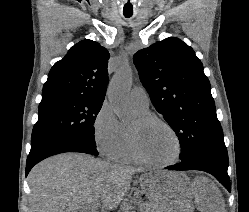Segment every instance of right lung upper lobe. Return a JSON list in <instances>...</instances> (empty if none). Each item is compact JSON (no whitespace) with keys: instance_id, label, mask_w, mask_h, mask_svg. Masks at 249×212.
Returning <instances> with one entry per match:
<instances>
[{"instance_id":"obj_1","label":"right lung upper lobe","mask_w":249,"mask_h":212,"mask_svg":"<svg viewBox=\"0 0 249 212\" xmlns=\"http://www.w3.org/2000/svg\"><path fill=\"white\" fill-rule=\"evenodd\" d=\"M107 49L92 40L74 45L54 64L43 87L42 97L81 95L104 101L108 84Z\"/></svg>"}]
</instances>
